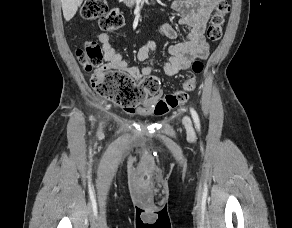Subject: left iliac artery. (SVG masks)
<instances>
[{
	"instance_id": "left-iliac-artery-1",
	"label": "left iliac artery",
	"mask_w": 292,
	"mask_h": 228,
	"mask_svg": "<svg viewBox=\"0 0 292 228\" xmlns=\"http://www.w3.org/2000/svg\"><path fill=\"white\" fill-rule=\"evenodd\" d=\"M190 112H191V115H192V118H193V121L195 123L196 128L198 130H200V120H199V116H198L197 112L193 108H190Z\"/></svg>"
}]
</instances>
